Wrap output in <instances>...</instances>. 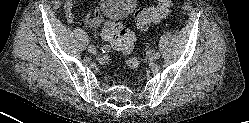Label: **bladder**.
<instances>
[{"label": "bladder", "mask_w": 249, "mask_h": 123, "mask_svg": "<svg viewBox=\"0 0 249 123\" xmlns=\"http://www.w3.org/2000/svg\"><path fill=\"white\" fill-rule=\"evenodd\" d=\"M136 6V0H100L102 16L109 22H119L131 14Z\"/></svg>", "instance_id": "bladder-1"}]
</instances>
